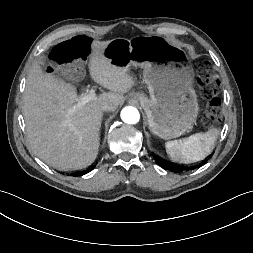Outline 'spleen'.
Segmentation results:
<instances>
[{"mask_svg": "<svg viewBox=\"0 0 253 253\" xmlns=\"http://www.w3.org/2000/svg\"><path fill=\"white\" fill-rule=\"evenodd\" d=\"M219 131L212 128L205 133H196L180 141L166 142V152L170 158L180 163L203 160L214 148Z\"/></svg>", "mask_w": 253, "mask_h": 253, "instance_id": "spleen-1", "label": "spleen"}]
</instances>
